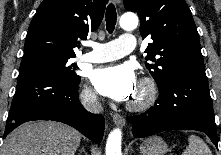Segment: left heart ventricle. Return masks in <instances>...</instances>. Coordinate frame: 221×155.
<instances>
[{"label": "left heart ventricle", "instance_id": "obj_1", "mask_svg": "<svg viewBox=\"0 0 221 155\" xmlns=\"http://www.w3.org/2000/svg\"><path fill=\"white\" fill-rule=\"evenodd\" d=\"M138 95H139V88L137 89L135 95L133 96V98L131 100L136 99L138 97Z\"/></svg>", "mask_w": 221, "mask_h": 155}]
</instances>
